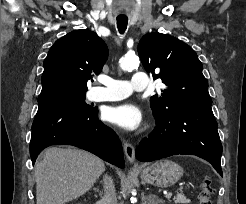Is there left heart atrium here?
<instances>
[{
  "label": "left heart atrium",
  "mask_w": 246,
  "mask_h": 204,
  "mask_svg": "<svg viewBox=\"0 0 246 204\" xmlns=\"http://www.w3.org/2000/svg\"><path fill=\"white\" fill-rule=\"evenodd\" d=\"M103 115L110 123L128 131L139 128L143 120L141 110L132 103L107 107Z\"/></svg>",
  "instance_id": "obj_1"
}]
</instances>
